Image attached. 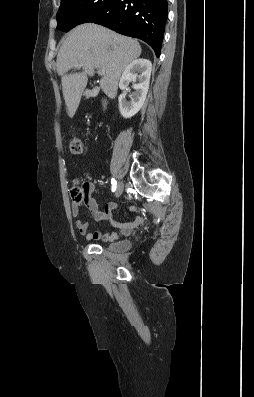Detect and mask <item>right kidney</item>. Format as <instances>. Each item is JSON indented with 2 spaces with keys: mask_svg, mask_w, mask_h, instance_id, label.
<instances>
[{
  "mask_svg": "<svg viewBox=\"0 0 254 397\" xmlns=\"http://www.w3.org/2000/svg\"><path fill=\"white\" fill-rule=\"evenodd\" d=\"M152 63L147 59H136L132 61L123 71L119 87L123 93L119 96V110L124 118L134 116L144 104L149 89ZM134 84V92L130 95V101L126 99L128 85L131 81Z\"/></svg>",
  "mask_w": 254,
  "mask_h": 397,
  "instance_id": "1",
  "label": "right kidney"
}]
</instances>
